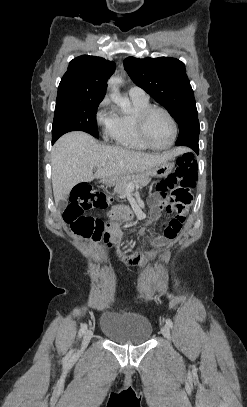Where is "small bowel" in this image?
I'll use <instances>...</instances> for the list:
<instances>
[{
  "mask_svg": "<svg viewBox=\"0 0 247 407\" xmlns=\"http://www.w3.org/2000/svg\"><path fill=\"white\" fill-rule=\"evenodd\" d=\"M151 221L158 220L166 212L172 215L169 222L162 229V234L156 238L159 245L170 244L180 234L184 227L188 204L177 203L173 199H165L160 194H154L149 198ZM122 237V231L118 226H111L104 236V243L107 248H111L116 241ZM149 257V253L143 252L136 255L129 263L133 266L144 265Z\"/></svg>",
  "mask_w": 247,
  "mask_h": 407,
  "instance_id": "obj_1",
  "label": "small bowel"
}]
</instances>
